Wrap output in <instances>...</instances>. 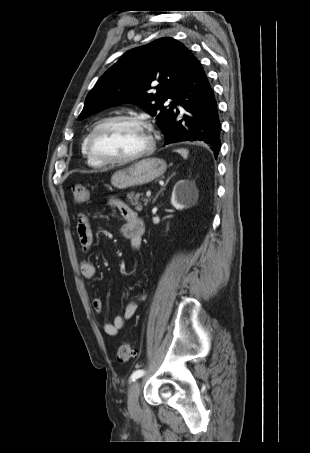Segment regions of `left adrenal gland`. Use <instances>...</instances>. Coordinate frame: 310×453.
I'll return each mask as SVG.
<instances>
[{
  "label": "left adrenal gland",
  "mask_w": 310,
  "mask_h": 453,
  "mask_svg": "<svg viewBox=\"0 0 310 453\" xmlns=\"http://www.w3.org/2000/svg\"><path fill=\"white\" fill-rule=\"evenodd\" d=\"M173 175H175V173H173V174L167 179V181H166L164 187L167 185V183L169 182L170 178H171ZM164 187L162 188V190L164 189ZM162 190H161V191H162ZM159 193H160V192H159ZM159 193H158V195H159ZM158 195L154 198L153 203L156 201Z\"/></svg>",
  "instance_id": "1"
}]
</instances>
